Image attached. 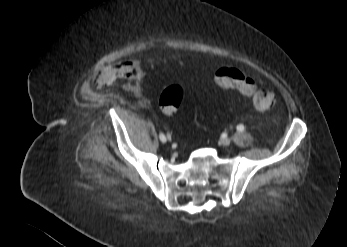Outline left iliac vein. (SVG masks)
Returning a JSON list of instances; mask_svg holds the SVG:
<instances>
[{
    "mask_svg": "<svg viewBox=\"0 0 347 247\" xmlns=\"http://www.w3.org/2000/svg\"><path fill=\"white\" fill-rule=\"evenodd\" d=\"M230 143H231V140H230L229 138H223V139L221 140V144H222L223 146H229Z\"/></svg>",
    "mask_w": 347,
    "mask_h": 247,
    "instance_id": "4c4485c4",
    "label": "left iliac vein"
}]
</instances>
